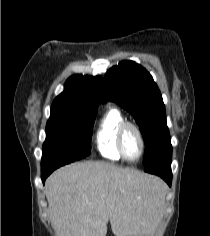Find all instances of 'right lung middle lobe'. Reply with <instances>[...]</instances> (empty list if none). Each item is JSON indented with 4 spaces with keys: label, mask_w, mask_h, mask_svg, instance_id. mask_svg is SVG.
<instances>
[{
    "label": "right lung middle lobe",
    "mask_w": 210,
    "mask_h": 236,
    "mask_svg": "<svg viewBox=\"0 0 210 236\" xmlns=\"http://www.w3.org/2000/svg\"><path fill=\"white\" fill-rule=\"evenodd\" d=\"M96 111L51 108L42 160L76 161L88 156Z\"/></svg>",
    "instance_id": "obj_1"
}]
</instances>
